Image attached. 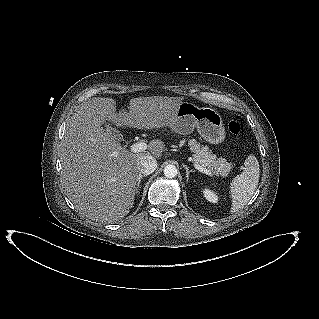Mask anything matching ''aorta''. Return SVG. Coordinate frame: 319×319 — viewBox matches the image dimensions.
I'll return each mask as SVG.
<instances>
[{"label":"aorta","mask_w":319,"mask_h":319,"mask_svg":"<svg viewBox=\"0 0 319 319\" xmlns=\"http://www.w3.org/2000/svg\"><path fill=\"white\" fill-rule=\"evenodd\" d=\"M164 175L170 179L176 177L177 176V168L174 165L165 166Z\"/></svg>","instance_id":"762f6f07"}]
</instances>
